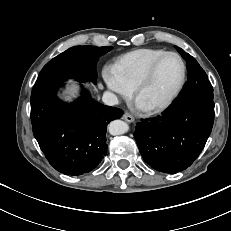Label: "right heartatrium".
Instances as JSON below:
<instances>
[{"label":"right heart atrium","mask_w":231,"mask_h":231,"mask_svg":"<svg viewBox=\"0 0 231 231\" xmlns=\"http://www.w3.org/2000/svg\"><path fill=\"white\" fill-rule=\"evenodd\" d=\"M102 77L107 88L112 93L123 97L130 95L131 88L120 80V78L116 75L112 67L105 66L102 70Z\"/></svg>","instance_id":"1"}]
</instances>
